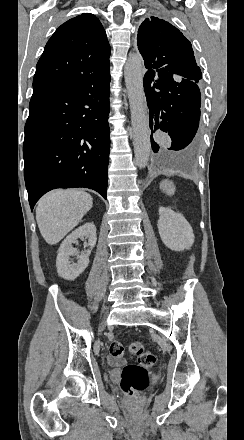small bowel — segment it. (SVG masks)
<instances>
[{"label": "small bowel", "mask_w": 244, "mask_h": 440, "mask_svg": "<svg viewBox=\"0 0 244 440\" xmlns=\"http://www.w3.org/2000/svg\"><path fill=\"white\" fill-rule=\"evenodd\" d=\"M114 364H115L116 366H120V365H122V362H121V361H115Z\"/></svg>", "instance_id": "1"}]
</instances>
